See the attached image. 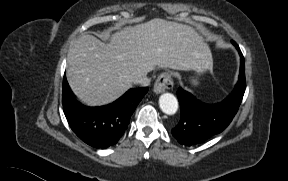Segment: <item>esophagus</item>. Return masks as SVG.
I'll return each mask as SVG.
<instances>
[{
	"label": "esophagus",
	"instance_id": "34e87169",
	"mask_svg": "<svg viewBox=\"0 0 288 181\" xmlns=\"http://www.w3.org/2000/svg\"><path fill=\"white\" fill-rule=\"evenodd\" d=\"M174 86L172 77L169 73H162L158 76L155 84H154V88L153 91L156 94H160L165 92L166 90L172 89Z\"/></svg>",
	"mask_w": 288,
	"mask_h": 181
}]
</instances>
